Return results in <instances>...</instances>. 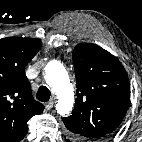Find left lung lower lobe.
I'll return each instance as SVG.
<instances>
[{
	"mask_svg": "<svg viewBox=\"0 0 142 142\" xmlns=\"http://www.w3.org/2000/svg\"><path fill=\"white\" fill-rule=\"evenodd\" d=\"M66 142H71L69 139H66Z\"/></svg>",
	"mask_w": 142,
	"mask_h": 142,
	"instance_id": "left-lung-lower-lobe-1",
	"label": "left lung lower lobe"
}]
</instances>
